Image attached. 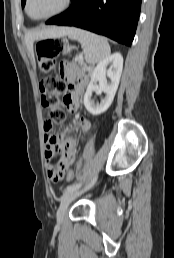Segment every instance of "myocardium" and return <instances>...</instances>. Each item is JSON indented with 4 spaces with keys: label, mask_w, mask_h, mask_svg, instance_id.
Returning <instances> with one entry per match:
<instances>
[{
    "label": "myocardium",
    "mask_w": 174,
    "mask_h": 258,
    "mask_svg": "<svg viewBox=\"0 0 174 258\" xmlns=\"http://www.w3.org/2000/svg\"><path fill=\"white\" fill-rule=\"evenodd\" d=\"M30 1H31V0H26V1H25L24 10H25V13L27 14V16H28L30 19L34 20V21H42V20H47V19H50V18H52V17H55V16H57V15L63 13L64 11H66V10L69 8V6L71 5V2H72V0H63V3H62V5H61V7L58 8L57 10H55V11L49 13V14H46V15H44V16L33 17V16H31L30 13H29V4H30Z\"/></svg>",
    "instance_id": "myocardium-1"
}]
</instances>
